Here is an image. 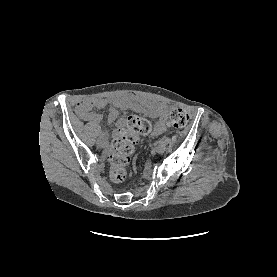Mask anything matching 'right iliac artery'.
Listing matches in <instances>:
<instances>
[{
    "label": "right iliac artery",
    "instance_id": "1",
    "mask_svg": "<svg viewBox=\"0 0 277 277\" xmlns=\"http://www.w3.org/2000/svg\"><path fill=\"white\" fill-rule=\"evenodd\" d=\"M103 137H106V133H104V132H100V134H99V138H103Z\"/></svg>",
    "mask_w": 277,
    "mask_h": 277
}]
</instances>
